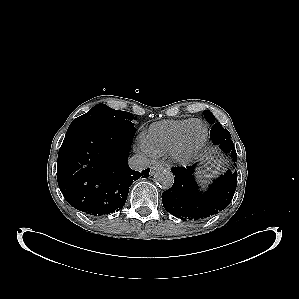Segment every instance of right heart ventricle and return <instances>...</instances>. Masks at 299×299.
I'll return each instance as SVG.
<instances>
[{
    "instance_id": "1",
    "label": "right heart ventricle",
    "mask_w": 299,
    "mask_h": 299,
    "mask_svg": "<svg viewBox=\"0 0 299 299\" xmlns=\"http://www.w3.org/2000/svg\"><path fill=\"white\" fill-rule=\"evenodd\" d=\"M189 121L190 119L154 123L143 134L142 139L153 155H162L171 149L178 134Z\"/></svg>"
}]
</instances>
